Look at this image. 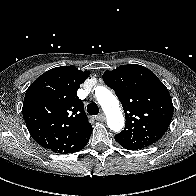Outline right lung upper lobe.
Instances as JSON below:
<instances>
[{"instance_id": "cb5924a9", "label": "right lung upper lobe", "mask_w": 196, "mask_h": 196, "mask_svg": "<svg viewBox=\"0 0 196 196\" xmlns=\"http://www.w3.org/2000/svg\"><path fill=\"white\" fill-rule=\"evenodd\" d=\"M89 74L75 66L56 67L29 86L23 117L39 145L62 154L77 152L86 146L92 126L77 90Z\"/></svg>"}]
</instances>
